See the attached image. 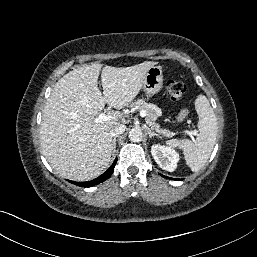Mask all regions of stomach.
<instances>
[{"label":"stomach","instance_id":"0dacf381","mask_svg":"<svg viewBox=\"0 0 257 257\" xmlns=\"http://www.w3.org/2000/svg\"><path fill=\"white\" fill-rule=\"evenodd\" d=\"M163 86V74L161 66H152L146 73L143 81V90L149 96L158 93Z\"/></svg>","mask_w":257,"mask_h":257}]
</instances>
